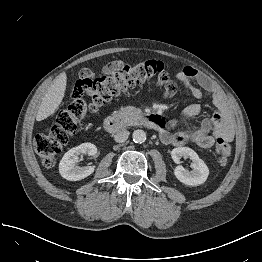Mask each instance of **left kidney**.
Segmentation results:
<instances>
[{"label":"left kidney","mask_w":262,"mask_h":262,"mask_svg":"<svg viewBox=\"0 0 262 262\" xmlns=\"http://www.w3.org/2000/svg\"><path fill=\"white\" fill-rule=\"evenodd\" d=\"M171 156L173 161L177 164L180 163L182 157L192 160L191 166L193 170L188 171L181 165L176 166L174 169V175L180 182L188 186H197L203 184L207 180L209 169L194 150L188 147L174 148L171 151Z\"/></svg>","instance_id":"obj_1"}]
</instances>
